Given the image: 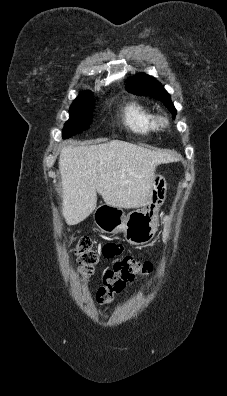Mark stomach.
<instances>
[{
    "label": "stomach",
    "mask_w": 227,
    "mask_h": 396,
    "mask_svg": "<svg viewBox=\"0 0 227 396\" xmlns=\"http://www.w3.org/2000/svg\"><path fill=\"white\" fill-rule=\"evenodd\" d=\"M167 185L165 177L155 173L142 209L125 215L121 208L101 205L94 212L96 226L107 234L123 232L127 242L132 245L150 242L157 231L158 208L165 200Z\"/></svg>",
    "instance_id": "0dacf381"
}]
</instances>
